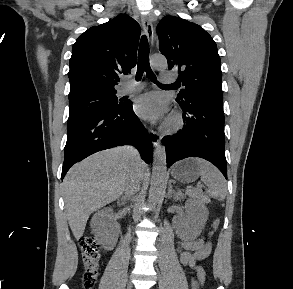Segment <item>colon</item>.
Returning <instances> with one entry per match:
<instances>
[{
    "label": "colon",
    "mask_w": 293,
    "mask_h": 289,
    "mask_svg": "<svg viewBox=\"0 0 293 289\" xmlns=\"http://www.w3.org/2000/svg\"><path fill=\"white\" fill-rule=\"evenodd\" d=\"M220 221L218 219L214 220L212 224L213 229L219 227ZM79 246L82 253V261L84 265V273L82 277V283L84 289H92L96 283L99 270L100 261V250L99 246L91 236H84L79 240ZM205 272L203 269H198L197 279L193 281V288L198 289L204 284Z\"/></svg>",
    "instance_id": "colon-1"
}]
</instances>
